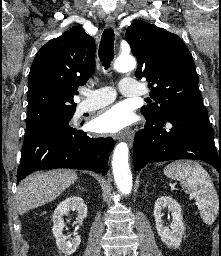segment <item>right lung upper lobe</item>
Segmentation results:
<instances>
[{"mask_svg":"<svg viewBox=\"0 0 221 256\" xmlns=\"http://www.w3.org/2000/svg\"><path fill=\"white\" fill-rule=\"evenodd\" d=\"M95 71V41L79 26L38 51L28 78L27 114L76 109L73 96Z\"/></svg>","mask_w":221,"mask_h":256,"instance_id":"1","label":"right lung upper lobe"}]
</instances>
